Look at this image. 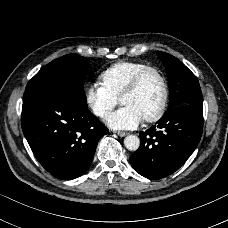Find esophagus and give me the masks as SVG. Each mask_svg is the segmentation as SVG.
<instances>
[{"mask_svg": "<svg viewBox=\"0 0 228 228\" xmlns=\"http://www.w3.org/2000/svg\"><path fill=\"white\" fill-rule=\"evenodd\" d=\"M116 134H117L119 137H124V136H126L128 133H127V132H124V131H117Z\"/></svg>", "mask_w": 228, "mask_h": 228, "instance_id": "1", "label": "esophagus"}]
</instances>
